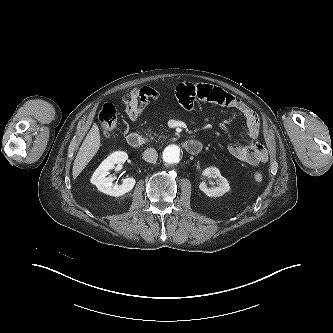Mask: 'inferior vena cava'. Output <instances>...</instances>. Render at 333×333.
Here are the masks:
<instances>
[{"instance_id": "obj_1", "label": "inferior vena cava", "mask_w": 333, "mask_h": 333, "mask_svg": "<svg viewBox=\"0 0 333 333\" xmlns=\"http://www.w3.org/2000/svg\"><path fill=\"white\" fill-rule=\"evenodd\" d=\"M158 158V153L154 148H148L143 153V159L149 163H155Z\"/></svg>"}]
</instances>
